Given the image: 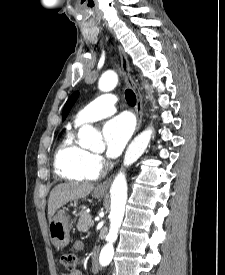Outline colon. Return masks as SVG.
I'll use <instances>...</instances> for the list:
<instances>
[{
  "label": "colon",
  "instance_id": "5ec220e1",
  "mask_svg": "<svg viewBox=\"0 0 225 275\" xmlns=\"http://www.w3.org/2000/svg\"><path fill=\"white\" fill-rule=\"evenodd\" d=\"M60 264L68 271H74L77 264V257L74 253H64L60 256Z\"/></svg>",
  "mask_w": 225,
  "mask_h": 275
}]
</instances>
